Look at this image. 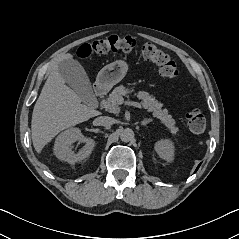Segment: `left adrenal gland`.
Instances as JSON below:
<instances>
[{
	"mask_svg": "<svg viewBox=\"0 0 239 239\" xmlns=\"http://www.w3.org/2000/svg\"><path fill=\"white\" fill-rule=\"evenodd\" d=\"M150 122H152V119L145 118L143 121H141V125L146 126Z\"/></svg>",
	"mask_w": 239,
	"mask_h": 239,
	"instance_id": "obj_1",
	"label": "left adrenal gland"
}]
</instances>
